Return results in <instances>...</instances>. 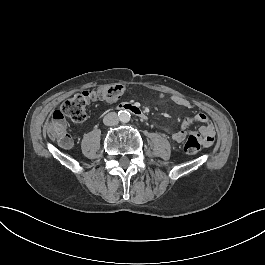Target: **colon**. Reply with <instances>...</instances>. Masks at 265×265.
<instances>
[{
    "label": "colon",
    "instance_id": "1",
    "mask_svg": "<svg viewBox=\"0 0 265 265\" xmlns=\"http://www.w3.org/2000/svg\"><path fill=\"white\" fill-rule=\"evenodd\" d=\"M124 91L125 87L122 84L103 85L68 98L48 121L47 136L56 140L62 148H70L72 138L68 132L66 118H71L75 122H83L87 117V109L93 101L112 103L118 100ZM203 148V141L193 134L189 135L183 143V151L187 155H194Z\"/></svg>",
    "mask_w": 265,
    "mask_h": 265
}]
</instances>
